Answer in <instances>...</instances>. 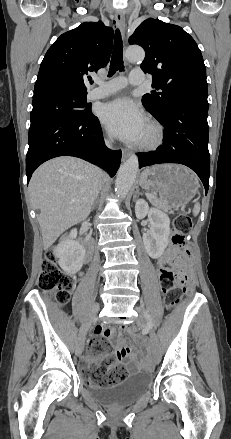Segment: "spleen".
<instances>
[{"label":"spleen","instance_id":"obj_1","mask_svg":"<svg viewBox=\"0 0 231 439\" xmlns=\"http://www.w3.org/2000/svg\"><path fill=\"white\" fill-rule=\"evenodd\" d=\"M199 211H200V204L197 202V203L194 205V208H193V214H194V216H197L198 213H199Z\"/></svg>","mask_w":231,"mask_h":439}]
</instances>
